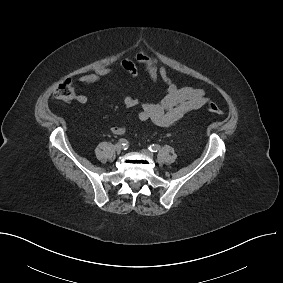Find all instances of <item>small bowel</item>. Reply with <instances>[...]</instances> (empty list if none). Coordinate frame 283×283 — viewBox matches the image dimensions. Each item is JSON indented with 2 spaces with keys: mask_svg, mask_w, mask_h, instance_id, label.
I'll use <instances>...</instances> for the list:
<instances>
[{
  "mask_svg": "<svg viewBox=\"0 0 283 283\" xmlns=\"http://www.w3.org/2000/svg\"><path fill=\"white\" fill-rule=\"evenodd\" d=\"M120 66L132 78L139 76V66H141L152 82L162 81L167 86L166 94L159 102L140 101L130 95L121 96L126 107H140L138 118L141 121H151L160 127H171L180 122L190 112L204 106L208 101L203 89L178 87L159 59L144 51L136 53L134 59L122 58ZM111 73V68L99 67L92 73L80 76L78 81L84 85L107 81L110 86L115 87L114 83L107 79ZM76 101L79 104H85L87 103V97L80 94L76 97ZM111 132L114 135H122L126 132V127L123 125L114 126L111 128Z\"/></svg>",
  "mask_w": 283,
  "mask_h": 283,
  "instance_id": "c3829d8e",
  "label": "small bowel"
}]
</instances>
